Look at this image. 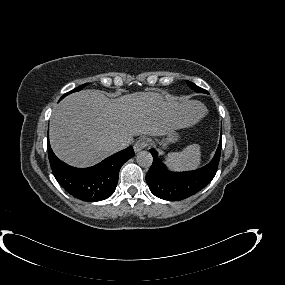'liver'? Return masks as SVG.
I'll return each instance as SVG.
<instances>
[{
    "mask_svg": "<svg viewBox=\"0 0 285 285\" xmlns=\"http://www.w3.org/2000/svg\"><path fill=\"white\" fill-rule=\"evenodd\" d=\"M198 101L136 92L109 99L98 90H83L64 98L53 110L50 144L62 161L77 167L94 165L115 153L112 143L134 136H164L189 128L201 117Z\"/></svg>",
    "mask_w": 285,
    "mask_h": 285,
    "instance_id": "obj_1",
    "label": "liver"
}]
</instances>
